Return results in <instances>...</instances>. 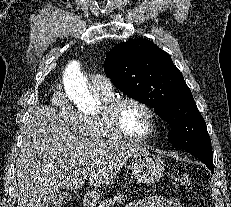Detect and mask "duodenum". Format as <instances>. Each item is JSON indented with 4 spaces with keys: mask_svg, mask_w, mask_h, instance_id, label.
Wrapping results in <instances>:
<instances>
[{
    "mask_svg": "<svg viewBox=\"0 0 231 207\" xmlns=\"http://www.w3.org/2000/svg\"><path fill=\"white\" fill-rule=\"evenodd\" d=\"M96 199V194L92 192L86 193L82 198V206L83 207H91Z\"/></svg>",
    "mask_w": 231,
    "mask_h": 207,
    "instance_id": "1",
    "label": "duodenum"
}]
</instances>
